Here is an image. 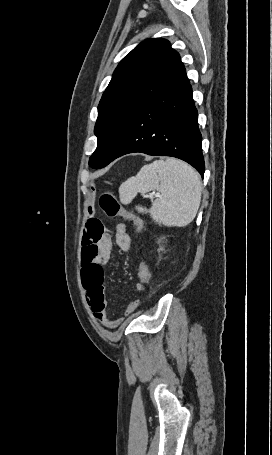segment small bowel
Masks as SVG:
<instances>
[{
	"instance_id": "obj_1",
	"label": "small bowel",
	"mask_w": 272,
	"mask_h": 455,
	"mask_svg": "<svg viewBox=\"0 0 272 455\" xmlns=\"http://www.w3.org/2000/svg\"><path fill=\"white\" fill-rule=\"evenodd\" d=\"M115 243L119 249L128 253L131 248V237L125 224L115 228ZM113 242L100 220L88 217L82 237V283L86 299L95 318L105 327L114 329L123 318L112 319L107 310V299L103 282V266L108 262ZM139 292H145L147 286L140 282L135 285ZM138 301L129 303L125 315L133 312Z\"/></svg>"
}]
</instances>
